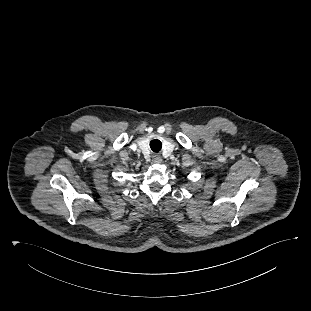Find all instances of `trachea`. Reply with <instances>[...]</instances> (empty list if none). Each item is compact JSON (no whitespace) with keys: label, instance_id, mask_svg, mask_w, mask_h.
<instances>
[{"label":"trachea","instance_id":"trachea-1","mask_svg":"<svg viewBox=\"0 0 311 311\" xmlns=\"http://www.w3.org/2000/svg\"><path fill=\"white\" fill-rule=\"evenodd\" d=\"M150 148L153 152H159L162 148L161 141L155 139L150 142Z\"/></svg>","mask_w":311,"mask_h":311}]
</instances>
